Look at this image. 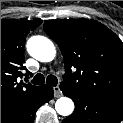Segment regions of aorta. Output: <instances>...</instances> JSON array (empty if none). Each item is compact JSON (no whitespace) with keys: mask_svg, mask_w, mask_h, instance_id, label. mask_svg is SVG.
Returning a JSON list of instances; mask_svg holds the SVG:
<instances>
[{"mask_svg":"<svg viewBox=\"0 0 123 123\" xmlns=\"http://www.w3.org/2000/svg\"><path fill=\"white\" fill-rule=\"evenodd\" d=\"M27 51L36 60L50 62L55 58L56 49L53 42L44 36H33L27 41ZM59 115L69 116L74 111V102L68 97H61L55 103Z\"/></svg>","mask_w":123,"mask_h":123,"instance_id":"aorta-1","label":"aorta"}]
</instances>
